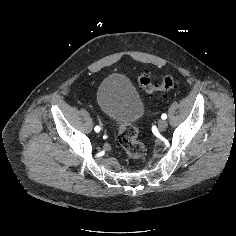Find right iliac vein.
<instances>
[{
    "mask_svg": "<svg viewBox=\"0 0 236 236\" xmlns=\"http://www.w3.org/2000/svg\"><path fill=\"white\" fill-rule=\"evenodd\" d=\"M95 121L103 128H101V133H104V124L101 123L100 119H99V114L95 117Z\"/></svg>",
    "mask_w": 236,
    "mask_h": 236,
    "instance_id": "63e3f726",
    "label": "right iliac vein"
}]
</instances>
